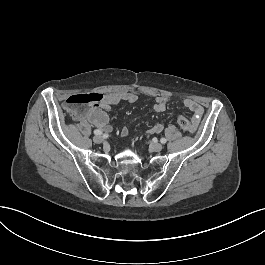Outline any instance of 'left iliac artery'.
<instances>
[{"label": "left iliac artery", "instance_id": "1", "mask_svg": "<svg viewBox=\"0 0 265 265\" xmlns=\"http://www.w3.org/2000/svg\"><path fill=\"white\" fill-rule=\"evenodd\" d=\"M166 139L165 138H161V140H160V142L162 143V144H165L166 143Z\"/></svg>", "mask_w": 265, "mask_h": 265}]
</instances>
